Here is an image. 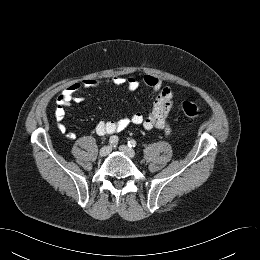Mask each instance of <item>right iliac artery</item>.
Masks as SVG:
<instances>
[{
    "mask_svg": "<svg viewBox=\"0 0 260 260\" xmlns=\"http://www.w3.org/2000/svg\"><path fill=\"white\" fill-rule=\"evenodd\" d=\"M118 137L117 136H112V137H110V139H109V144L111 145V146H116L117 145V143H118Z\"/></svg>",
    "mask_w": 260,
    "mask_h": 260,
    "instance_id": "82829eb1",
    "label": "right iliac artery"
}]
</instances>
